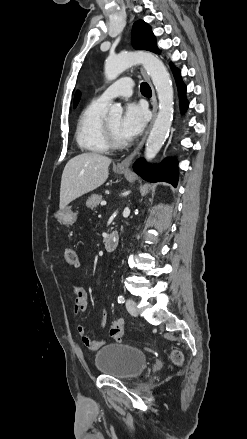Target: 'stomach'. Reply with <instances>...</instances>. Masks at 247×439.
<instances>
[{
	"mask_svg": "<svg viewBox=\"0 0 247 439\" xmlns=\"http://www.w3.org/2000/svg\"><path fill=\"white\" fill-rule=\"evenodd\" d=\"M117 172L124 173L125 170H117ZM55 215L65 225H72L77 219V215L71 210V207L60 209Z\"/></svg>",
	"mask_w": 247,
	"mask_h": 439,
	"instance_id": "1",
	"label": "stomach"
}]
</instances>
